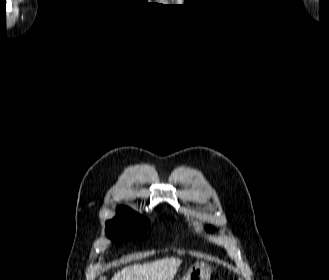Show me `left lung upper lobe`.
Here are the masks:
<instances>
[{
	"label": "left lung upper lobe",
	"mask_w": 329,
	"mask_h": 280,
	"mask_svg": "<svg viewBox=\"0 0 329 280\" xmlns=\"http://www.w3.org/2000/svg\"><path fill=\"white\" fill-rule=\"evenodd\" d=\"M206 229H207L208 231H212V230H213V228L210 227V226H208Z\"/></svg>",
	"instance_id": "1"
}]
</instances>
